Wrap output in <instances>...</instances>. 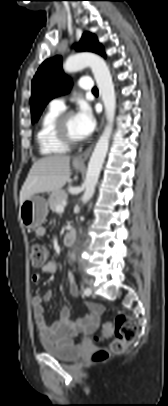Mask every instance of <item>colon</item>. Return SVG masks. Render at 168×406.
Masks as SVG:
<instances>
[{"instance_id":"1","label":"colon","mask_w":168,"mask_h":406,"mask_svg":"<svg viewBox=\"0 0 168 406\" xmlns=\"http://www.w3.org/2000/svg\"><path fill=\"white\" fill-rule=\"evenodd\" d=\"M29 258L34 267H42L48 259V250L41 244H32L29 247ZM114 332L109 349H98L92 359L96 362L107 359L111 354H120L135 339L137 335L136 322L125 314H119L114 322L103 325V336L108 337Z\"/></svg>"}]
</instances>
